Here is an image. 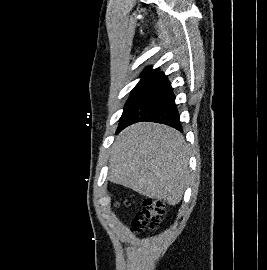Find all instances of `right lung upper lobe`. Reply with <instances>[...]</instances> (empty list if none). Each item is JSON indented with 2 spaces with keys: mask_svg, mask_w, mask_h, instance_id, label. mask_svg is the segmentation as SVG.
<instances>
[{
  "mask_svg": "<svg viewBox=\"0 0 267 270\" xmlns=\"http://www.w3.org/2000/svg\"><path fill=\"white\" fill-rule=\"evenodd\" d=\"M159 73V69L152 70V67H146L145 70L142 72L141 76L148 77V76H157Z\"/></svg>",
  "mask_w": 267,
  "mask_h": 270,
  "instance_id": "cb5924a9",
  "label": "right lung upper lobe"
}]
</instances>
